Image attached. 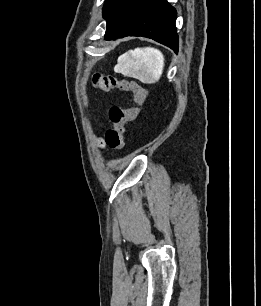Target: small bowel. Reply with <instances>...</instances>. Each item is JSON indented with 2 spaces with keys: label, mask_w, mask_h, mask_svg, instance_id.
Here are the masks:
<instances>
[{
  "label": "small bowel",
  "mask_w": 261,
  "mask_h": 306,
  "mask_svg": "<svg viewBox=\"0 0 261 306\" xmlns=\"http://www.w3.org/2000/svg\"><path fill=\"white\" fill-rule=\"evenodd\" d=\"M98 142L104 147L105 146V143L102 139L98 138Z\"/></svg>",
  "instance_id": "obj_1"
}]
</instances>
